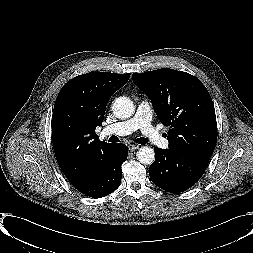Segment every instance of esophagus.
<instances>
[{
  "mask_svg": "<svg viewBox=\"0 0 253 253\" xmlns=\"http://www.w3.org/2000/svg\"><path fill=\"white\" fill-rule=\"evenodd\" d=\"M139 147L140 146L137 145V144H129L128 145L129 150L132 151V152L135 151V150H137V149H139Z\"/></svg>",
  "mask_w": 253,
  "mask_h": 253,
  "instance_id": "obj_1",
  "label": "esophagus"
}]
</instances>
